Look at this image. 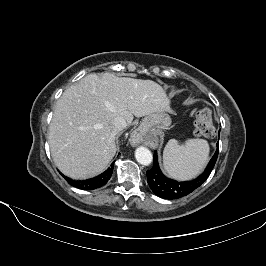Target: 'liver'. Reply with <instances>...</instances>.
<instances>
[{"mask_svg": "<svg viewBox=\"0 0 266 266\" xmlns=\"http://www.w3.org/2000/svg\"><path fill=\"white\" fill-rule=\"evenodd\" d=\"M170 112V100L152 80L88 74L56 103L48 142L58 169L74 179L101 173L116 154L112 121Z\"/></svg>", "mask_w": 266, "mask_h": 266, "instance_id": "obj_1", "label": "liver"}]
</instances>
